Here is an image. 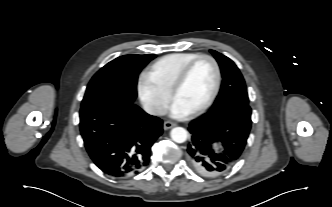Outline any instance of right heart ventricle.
<instances>
[{
	"label": "right heart ventricle",
	"instance_id": "1",
	"mask_svg": "<svg viewBox=\"0 0 332 207\" xmlns=\"http://www.w3.org/2000/svg\"><path fill=\"white\" fill-rule=\"evenodd\" d=\"M199 53L181 52L165 55L155 61L146 75L161 89L170 93L173 82L181 69Z\"/></svg>",
	"mask_w": 332,
	"mask_h": 207
}]
</instances>
